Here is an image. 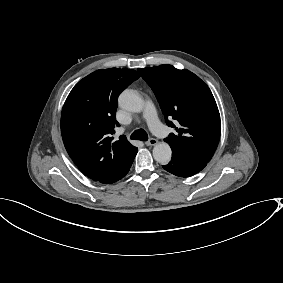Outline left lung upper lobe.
<instances>
[{
    "label": "left lung upper lobe",
    "mask_w": 283,
    "mask_h": 283,
    "mask_svg": "<svg viewBox=\"0 0 283 283\" xmlns=\"http://www.w3.org/2000/svg\"><path fill=\"white\" fill-rule=\"evenodd\" d=\"M138 71L155 93L167 125L178 133L164 140L172 152L209 162L219 143L221 122L208 86L194 73L172 65Z\"/></svg>",
    "instance_id": "left-lung-upper-lobe-1"
}]
</instances>
